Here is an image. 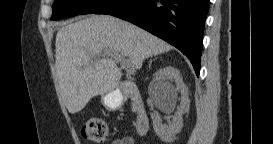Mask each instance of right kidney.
<instances>
[{
    "label": "right kidney",
    "instance_id": "right-kidney-1",
    "mask_svg": "<svg viewBox=\"0 0 273 144\" xmlns=\"http://www.w3.org/2000/svg\"><path fill=\"white\" fill-rule=\"evenodd\" d=\"M172 81L177 83L178 88L183 94V98L186 102H189L188 88L183 83L179 71L171 66L159 69L154 75L153 82L160 89L159 102L165 105L170 99L176 98L177 89L171 84ZM184 111V109H179L172 116V121H169L168 124H163L162 118L159 115L151 113L154 131L162 141L167 143L172 142L176 134L181 131Z\"/></svg>",
    "mask_w": 273,
    "mask_h": 144
}]
</instances>
